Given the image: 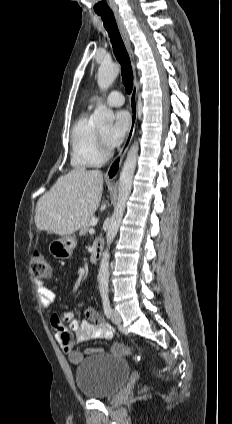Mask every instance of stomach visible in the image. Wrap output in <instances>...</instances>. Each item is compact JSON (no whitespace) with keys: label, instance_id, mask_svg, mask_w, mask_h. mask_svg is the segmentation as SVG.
Returning <instances> with one entry per match:
<instances>
[{"label":"stomach","instance_id":"1","mask_svg":"<svg viewBox=\"0 0 232 424\" xmlns=\"http://www.w3.org/2000/svg\"><path fill=\"white\" fill-rule=\"evenodd\" d=\"M76 237L73 235L62 236L53 240L48 250L51 255L59 259H67L72 255L73 249L76 247Z\"/></svg>","mask_w":232,"mask_h":424}]
</instances>
